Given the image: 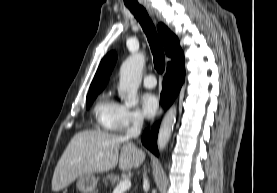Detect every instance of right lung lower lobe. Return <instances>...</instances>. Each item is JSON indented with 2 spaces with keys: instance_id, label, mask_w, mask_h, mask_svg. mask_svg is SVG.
I'll list each match as a JSON object with an SVG mask.
<instances>
[{
  "instance_id": "obj_1",
  "label": "right lung lower lobe",
  "mask_w": 277,
  "mask_h": 193,
  "mask_svg": "<svg viewBox=\"0 0 277 193\" xmlns=\"http://www.w3.org/2000/svg\"><path fill=\"white\" fill-rule=\"evenodd\" d=\"M185 77L184 56L177 58L167 65L166 75L163 79V89L161 99L167 109L174 101L179 93ZM159 124L153 126L152 131L148 129L144 131L142 137L143 145L155 155H159L157 149V134Z\"/></svg>"
}]
</instances>
